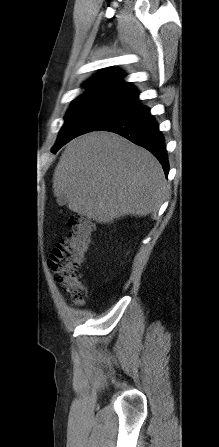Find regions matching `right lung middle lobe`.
<instances>
[{"instance_id":"obj_1","label":"right lung middle lobe","mask_w":219,"mask_h":447,"mask_svg":"<svg viewBox=\"0 0 219 447\" xmlns=\"http://www.w3.org/2000/svg\"><path fill=\"white\" fill-rule=\"evenodd\" d=\"M140 101L120 91L109 88H90L77 97L65 117L53 151H57L72 138L96 131L105 123L127 114Z\"/></svg>"}]
</instances>
